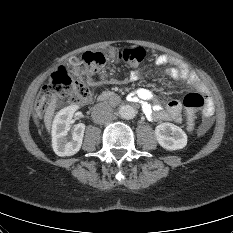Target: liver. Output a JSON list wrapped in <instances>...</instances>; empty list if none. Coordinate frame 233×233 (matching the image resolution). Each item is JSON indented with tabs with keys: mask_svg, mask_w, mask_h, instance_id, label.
<instances>
[{
	"mask_svg": "<svg viewBox=\"0 0 233 233\" xmlns=\"http://www.w3.org/2000/svg\"><path fill=\"white\" fill-rule=\"evenodd\" d=\"M57 98L53 97L44 115V123L48 132L51 130L52 119L55 113Z\"/></svg>",
	"mask_w": 233,
	"mask_h": 233,
	"instance_id": "obj_1",
	"label": "liver"
}]
</instances>
